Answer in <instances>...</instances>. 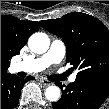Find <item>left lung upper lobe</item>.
Segmentation results:
<instances>
[{"label":"left lung upper lobe","instance_id":"5c2ea615","mask_svg":"<svg viewBox=\"0 0 109 109\" xmlns=\"http://www.w3.org/2000/svg\"><path fill=\"white\" fill-rule=\"evenodd\" d=\"M49 32L66 45V63L79 69L76 78H93L109 84V30L97 18L68 13L58 19L41 21Z\"/></svg>","mask_w":109,"mask_h":109}]
</instances>
